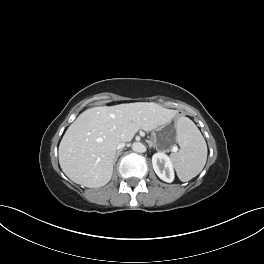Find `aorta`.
<instances>
[{
  "mask_svg": "<svg viewBox=\"0 0 264 264\" xmlns=\"http://www.w3.org/2000/svg\"><path fill=\"white\" fill-rule=\"evenodd\" d=\"M132 150L136 153H142L145 151V146L140 142H135L132 144Z\"/></svg>",
  "mask_w": 264,
  "mask_h": 264,
  "instance_id": "762f6f07",
  "label": "aorta"
}]
</instances>
